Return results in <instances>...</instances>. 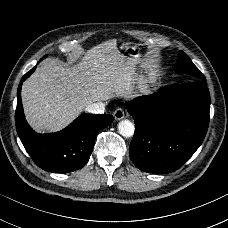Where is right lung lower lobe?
<instances>
[{"mask_svg": "<svg viewBox=\"0 0 228 228\" xmlns=\"http://www.w3.org/2000/svg\"><path fill=\"white\" fill-rule=\"evenodd\" d=\"M35 69L36 67L22 77L18 87L15 112L17 133L35 164L43 170L56 173L78 170L88 162L97 134L112 122L113 116L109 114L84 115L60 132L51 134L34 132L25 120L21 87L23 81Z\"/></svg>", "mask_w": 228, "mask_h": 228, "instance_id": "obj_1", "label": "right lung lower lobe"}]
</instances>
